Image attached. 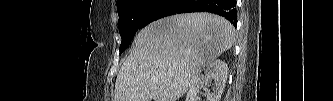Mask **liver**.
I'll return each mask as SVG.
<instances>
[{
	"mask_svg": "<svg viewBox=\"0 0 333 101\" xmlns=\"http://www.w3.org/2000/svg\"><path fill=\"white\" fill-rule=\"evenodd\" d=\"M234 37L233 25L210 13L154 21L136 36L117 75L114 101H177Z\"/></svg>",
	"mask_w": 333,
	"mask_h": 101,
	"instance_id": "liver-1",
	"label": "liver"
}]
</instances>
